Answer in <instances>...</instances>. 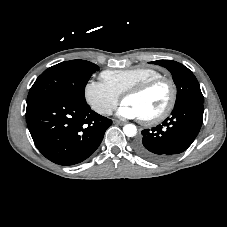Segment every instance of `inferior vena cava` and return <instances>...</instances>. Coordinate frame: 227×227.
Returning <instances> with one entry per match:
<instances>
[{
    "label": "inferior vena cava",
    "mask_w": 227,
    "mask_h": 227,
    "mask_svg": "<svg viewBox=\"0 0 227 227\" xmlns=\"http://www.w3.org/2000/svg\"><path fill=\"white\" fill-rule=\"evenodd\" d=\"M102 113L107 114V115H112V109L111 108H104Z\"/></svg>",
    "instance_id": "inferior-vena-cava-1"
}]
</instances>
